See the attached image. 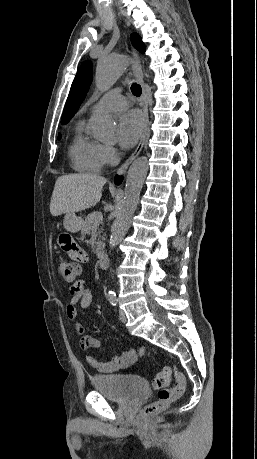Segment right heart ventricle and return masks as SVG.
Listing matches in <instances>:
<instances>
[{"label": "right heart ventricle", "instance_id": "obj_1", "mask_svg": "<svg viewBox=\"0 0 257 459\" xmlns=\"http://www.w3.org/2000/svg\"><path fill=\"white\" fill-rule=\"evenodd\" d=\"M101 144L85 133V122L79 121L69 147L72 167L79 172H99L103 166Z\"/></svg>", "mask_w": 257, "mask_h": 459}]
</instances>
